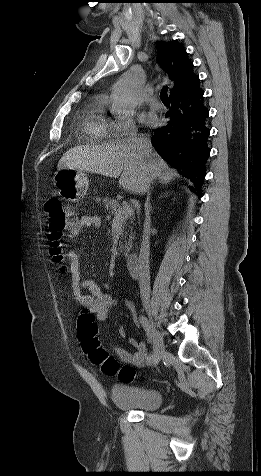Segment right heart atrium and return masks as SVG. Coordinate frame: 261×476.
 Segmentation results:
<instances>
[{"mask_svg": "<svg viewBox=\"0 0 261 476\" xmlns=\"http://www.w3.org/2000/svg\"><path fill=\"white\" fill-rule=\"evenodd\" d=\"M136 125L133 116L119 118L111 123L110 135L114 138L133 136L136 133Z\"/></svg>", "mask_w": 261, "mask_h": 476, "instance_id": "right-heart-atrium-1", "label": "right heart atrium"}]
</instances>
